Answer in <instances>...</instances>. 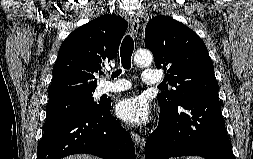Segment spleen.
Segmentation results:
<instances>
[{
  "mask_svg": "<svg viewBox=\"0 0 253 159\" xmlns=\"http://www.w3.org/2000/svg\"><path fill=\"white\" fill-rule=\"evenodd\" d=\"M186 159H203V158L198 157V156H189Z\"/></svg>",
  "mask_w": 253,
  "mask_h": 159,
  "instance_id": "1",
  "label": "spleen"
}]
</instances>
